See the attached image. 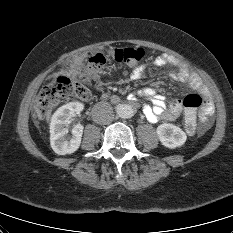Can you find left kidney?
Listing matches in <instances>:
<instances>
[{
  "mask_svg": "<svg viewBox=\"0 0 233 233\" xmlns=\"http://www.w3.org/2000/svg\"><path fill=\"white\" fill-rule=\"evenodd\" d=\"M156 133L162 145L171 149L181 147L187 139V136L182 129L170 123L159 125Z\"/></svg>",
  "mask_w": 233,
  "mask_h": 233,
  "instance_id": "5707ae66",
  "label": "left kidney"
}]
</instances>
